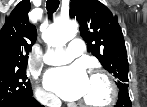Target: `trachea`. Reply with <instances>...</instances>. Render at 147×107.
<instances>
[{
	"label": "trachea",
	"mask_w": 147,
	"mask_h": 107,
	"mask_svg": "<svg viewBox=\"0 0 147 107\" xmlns=\"http://www.w3.org/2000/svg\"><path fill=\"white\" fill-rule=\"evenodd\" d=\"M59 0H47L46 2V9L48 11V15L52 16L54 12H56V10L59 7Z\"/></svg>",
	"instance_id": "1"
}]
</instances>
